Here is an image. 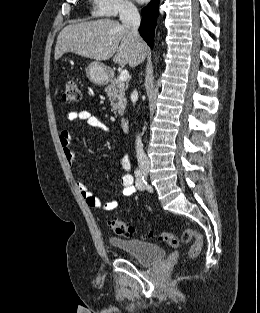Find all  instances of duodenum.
Wrapping results in <instances>:
<instances>
[{
    "mask_svg": "<svg viewBox=\"0 0 260 313\" xmlns=\"http://www.w3.org/2000/svg\"><path fill=\"white\" fill-rule=\"evenodd\" d=\"M121 125L123 130L126 132L129 129V120L127 118H123L121 121Z\"/></svg>",
    "mask_w": 260,
    "mask_h": 313,
    "instance_id": "obj_1",
    "label": "duodenum"
}]
</instances>
